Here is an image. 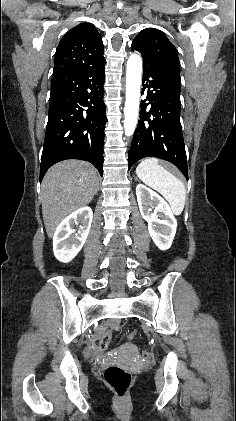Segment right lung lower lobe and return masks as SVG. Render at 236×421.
<instances>
[{
    "instance_id": "98d812e1",
    "label": "right lung lower lobe",
    "mask_w": 236,
    "mask_h": 421,
    "mask_svg": "<svg viewBox=\"0 0 236 421\" xmlns=\"http://www.w3.org/2000/svg\"><path fill=\"white\" fill-rule=\"evenodd\" d=\"M104 70L105 61L53 76L40 182L50 166L66 159L88 161L102 176L107 122Z\"/></svg>"
}]
</instances>
